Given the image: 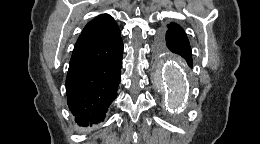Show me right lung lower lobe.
<instances>
[{"instance_id":"98d812e1","label":"right lung lower lobe","mask_w":260,"mask_h":144,"mask_svg":"<svg viewBox=\"0 0 260 144\" xmlns=\"http://www.w3.org/2000/svg\"><path fill=\"white\" fill-rule=\"evenodd\" d=\"M122 54L120 34L111 40L74 48L66 78V92L69 109L80 126L102 121L117 97Z\"/></svg>"}]
</instances>
